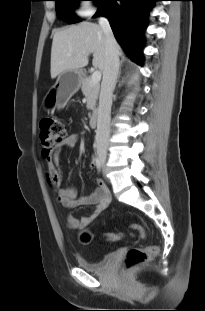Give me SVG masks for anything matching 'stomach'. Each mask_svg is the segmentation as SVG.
I'll return each mask as SVG.
<instances>
[{"label":"stomach","instance_id":"stomach-1","mask_svg":"<svg viewBox=\"0 0 205 311\" xmlns=\"http://www.w3.org/2000/svg\"><path fill=\"white\" fill-rule=\"evenodd\" d=\"M83 74L80 70L63 71L56 83L44 97L43 104L49 110L62 109L69 99L79 90Z\"/></svg>","mask_w":205,"mask_h":311}]
</instances>
